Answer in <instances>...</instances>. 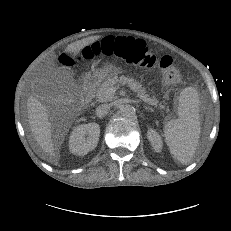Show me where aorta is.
<instances>
[{"label": "aorta", "mask_w": 231, "mask_h": 231, "mask_svg": "<svg viewBox=\"0 0 231 231\" xmlns=\"http://www.w3.org/2000/svg\"><path fill=\"white\" fill-rule=\"evenodd\" d=\"M121 114L124 118H132L135 116V108L131 105H124L121 108Z\"/></svg>", "instance_id": "obj_1"}]
</instances>
